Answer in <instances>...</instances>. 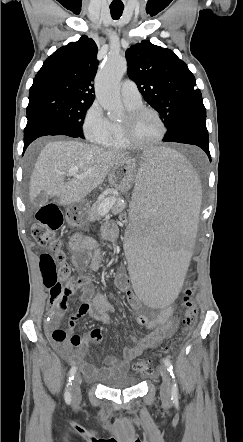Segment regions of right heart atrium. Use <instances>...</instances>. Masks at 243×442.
Wrapping results in <instances>:
<instances>
[{
    "label": "right heart atrium",
    "mask_w": 243,
    "mask_h": 442,
    "mask_svg": "<svg viewBox=\"0 0 243 442\" xmlns=\"http://www.w3.org/2000/svg\"><path fill=\"white\" fill-rule=\"evenodd\" d=\"M82 129L85 137L92 142H97L108 132L109 120L97 101L86 110Z\"/></svg>",
    "instance_id": "obj_1"
}]
</instances>
